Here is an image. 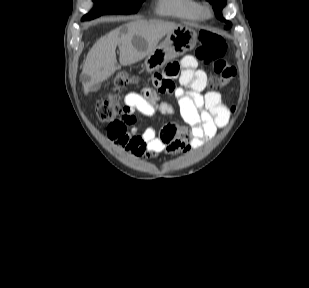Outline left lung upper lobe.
<instances>
[{"label": "left lung upper lobe", "instance_id": "5c2ea615", "mask_svg": "<svg viewBox=\"0 0 309 288\" xmlns=\"http://www.w3.org/2000/svg\"><path fill=\"white\" fill-rule=\"evenodd\" d=\"M212 5H213V9L216 13V16L225 21L227 23V26L225 27V29H229L231 27V23L227 20H225L223 17H222V8L225 6L226 4V0H208Z\"/></svg>", "mask_w": 309, "mask_h": 288}]
</instances>
